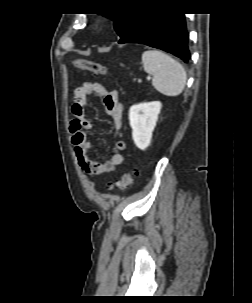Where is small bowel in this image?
I'll list each match as a JSON object with an SVG mask.
<instances>
[{"mask_svg": "<svg viewBox=\"0 0 252 303\" xmlns=\"http://www.w3.org/2000/svg\"><path fill=\"white\" fill-rule=\"evenodd\" d=\"M91 96L103 99L105 112L112 118L114 126L115 143L112 155L104 162L95 161L90 157L92 142L84 134V131H89L93 127L92 121L85 115V105ZM73 113L77 120L73 122L71 127L72 144L81 169L89 176L99 177L114 171L123 164V153L126 151L127 145L118 136L123 118V107L118 92L109 90L99 83L85 82L74 93Z\"/></svg>", "mask_w": 252, "mask_h": 303, "instance_id": "small-bowel-1", "label": "small bowel"}]
</instances>
